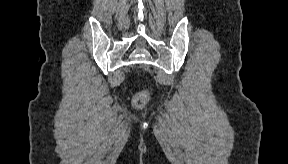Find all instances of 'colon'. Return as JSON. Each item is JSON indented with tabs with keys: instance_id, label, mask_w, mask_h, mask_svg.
Instances as JSON below:
<instances>
[{
	"instance_id": "5ec220e1",
	"label": "colon",
	"mask_w": 288,
	"mask_h": 164,
	"mask_svg": "<svg viewBox=\"0 0 288 164\" xmlns=\"http://www.w3.org/2000/svg\"><path fill=\"white\" fill-rule=\"evenodd\" d=\"M149 99V93L146 90L139 91L134 97V105L138 109H142Z\"/></svg>"
}]
</instances>
